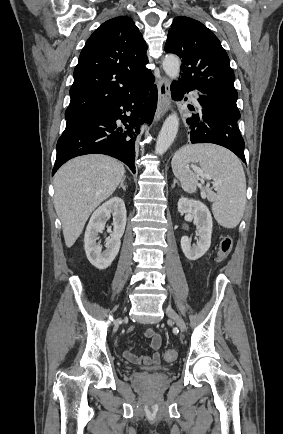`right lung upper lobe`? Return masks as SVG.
I'll use <instances>...</instances> for the list:
<instances>
[{
    "instance_id": "obj_1",
    "label": "right lung upper lobe",
    "mask_w": 283,
    "mask_h": 434,
    "mask_svg": "<svg viewBox=\"0 0 283 434\" xmlns=\"http://www.w3.org/2000/svg\"><path fill=\"white\" fill-rule=\"evenodd\" d=\"M147 45L133 20L119 16L104 22L87 40L74 70L71 119L125 97L150 73Z\"/></svg>"
}]
</instances>
